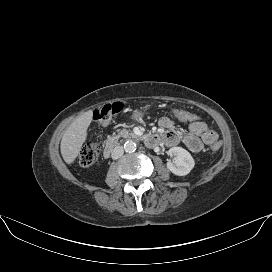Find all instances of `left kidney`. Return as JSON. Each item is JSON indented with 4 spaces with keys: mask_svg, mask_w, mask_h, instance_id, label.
Wrapping results in <instances>:
<instances>
[{
    "mask_svg": "<svg viewBox=\"0 0 272 272\" xmlns=\"http://www.w3.org/2000/svg\"><path fill=\"white\" fill-rule=\"evenodd\" d=\"M174 159L167 162V168L177 176H185L190 173L195 165L191 154L181 147H172L167 152Z\"/></svg>",
    "mask_w": 272,
    "mask_h": 272,
    "instance_id": "left-kidney-1",
    "label": "left kidney"
}]
</instances>
